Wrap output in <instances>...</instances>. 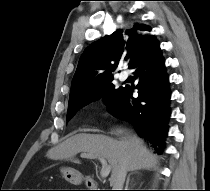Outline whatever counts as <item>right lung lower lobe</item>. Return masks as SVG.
I'll list each match as a JSON object with an SVG mask.
<instances>
[{
  "mask_svg": "<svg viewBox=\"0 0 210 191\" xmlns=\"http://www.w3.org/2000/svg\"><path fill=\"white\" fill-rule=\"evenodd\" d=\"M130 69L135 70L139 79L138 97L132 96L134 87L126 85L107 109L113 116L132 124L139 136L157 144L158 153H163L171 113V93L156 38L137 56Z\"/></svg>",
  "mask_w": 210,
  "mask_h": 191,
  "instance_id": "1",
  "label": "right lung lower lobe"
}]
</instances>
